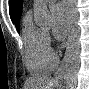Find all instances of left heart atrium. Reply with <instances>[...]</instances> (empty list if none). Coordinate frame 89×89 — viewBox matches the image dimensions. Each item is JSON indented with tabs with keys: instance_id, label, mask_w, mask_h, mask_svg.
<instances>
[{
	"instance_id": "obj_1",
	"label": "left heart atrium",
	"mask_w": 89,
	"mask_h": 89,
	"mask_svg": "<svg viewBox=\"0 0 89 89\" xmlns=\"http://www.w3.org/2000/svg\"><path fill=\"white\" fill-rule=\"evenodd\" d=\"M53 26L52 33L57 40H62L67 32L68 28V16L61 5H56L51 11Z\"/></svg>"
}]
</instances>
